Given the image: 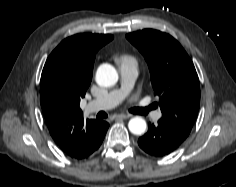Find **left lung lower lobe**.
Returning a JSON list of instances; mask_svg holds the SVG:
<instances>
[{
	"label": "left lung lower lobe",
	"mask_w": 236,
	"mask_h": 187,
	"mask_svg": "<svg viewBox=\"0 0 236 187\" xmlns=\"http://www.w3.org/2000/svg\"><path fill=\"white\" fill-rule=\"evenodd\" d=\"M187 136L175 126L159 120L156 125H149L148 132L139 138L138 144L149 155L160 157L174 151Z\"/></svg>",
	"instance_id": "0a47b994"
}]
</instances>
